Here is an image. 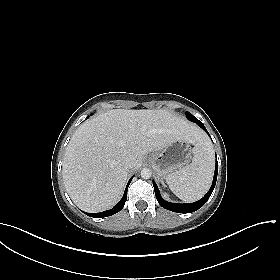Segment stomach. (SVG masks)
I'll use <instances>...</instances> for the list:
<instances>
[{
	"label": "stomach",
	"instance_id": "1",
	"mask_svg": "<svg viewBox=\"0 0 280 280\" xmlns=\"http://www.w3.org/2000/svg\"><path fill=\"white\" fill-rule=\"evenodd\" d=\"M192 154L193 149L189 147L188 141L175 140L162 150L152 154L149 157V163L157 175L163 179L187 165Z\"/></svg>",
	"mask_w": 280,
	"mask_h": 280
}]
</instances>
